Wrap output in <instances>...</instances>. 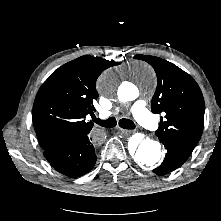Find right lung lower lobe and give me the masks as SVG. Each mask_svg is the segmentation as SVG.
I'll use <instances>...</instances> for the list:
<instances>
[{
	"instance_id": "1",
	"label": "right lung lower lobe",
	"mask_w": 221,
	"mask_h": 221,
	"mask_svg": "<svg viewBox=\"0 0 221 221\" xmlns=\"http://www.w3.org/2000/svg\"><path fill=\"white\" fill-rule=\"evenodd\" d=\"M44 156L58 172L78 177L88 173L95 165L94 140L88 134L75 137L45 150Z\"/></svg>"
}]
</instances>
